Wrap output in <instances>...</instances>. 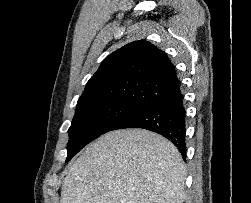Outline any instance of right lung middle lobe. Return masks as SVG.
<instances>
[{"mask_svg":"<svg viewBox=\"0 0 251 203\" xmlns=\"http://www.w3.org/2000/svg\"><path fill=\"white\" fill-rule=\"evenodd\" d=\"M140 108L136 105L123 103L77 105L71 127L68 130L69 142L66 162L89 142L114 130L117 124Z\"/></svg>","mask_w":251,"mask_h":203,"instance_id":"obj_1","label":"right lung middle lobe"}]
</instances>
